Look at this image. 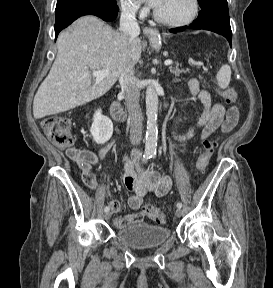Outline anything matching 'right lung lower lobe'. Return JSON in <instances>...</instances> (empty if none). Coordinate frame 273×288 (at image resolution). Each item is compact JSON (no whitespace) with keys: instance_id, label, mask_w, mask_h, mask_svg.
I'll return each mask as SVG.
<instances>
[{"instance_id":"obj_1","label":"right lung lower lobe","mask_w":273,"mask_h":288,"mask_svg":"<svg viewBox=\"0 0 273 288\" xmlns=\"http://www.w3.org/2000/svg\"><path fill=\"white\" fill-rule=\"evenodd\" d=\"M118 12H106L96 8L69 9L59 12L55 15V36L57 38L59 32L70 25L77 18L84 15H95L105 21H113L116 19Z\"/></svg>"}]
</instances>
